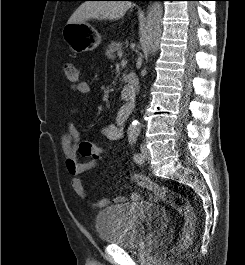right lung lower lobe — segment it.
Listing matches in <instances>:
<instances>
[{"label":"right lung lower lobe","mask_w":245,"mask_h":265,"mask_svg":"<svg viewBox=\"0 0 245 265\" xmlns=\"http://www.w3.org/2000/svg\"><path fill=\"white\" fill-rule=\"evenodd\" d=\"M85 1V0H83ZM128 1H154V0H128Z\"/></svg>","instance_id":"98d812e1"}]
</instances>
